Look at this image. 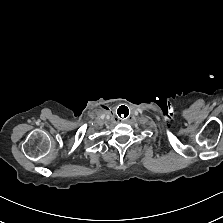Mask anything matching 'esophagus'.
<instances>
[{"instance_id": "34e87169", "label": "esophagus", "mask_w": 223, "mask_h": 223, "mask_svg": "<svg viewBox=\"0 0 223 223\" xmlns=\"http://www.w3.org/2000/svg\"><path fill=\"white\" fill-rule=\"evenodd\" d=\"M122 109H124V111H125V113L127 114V108L126 107H124V106H121L120 108H119V110L121 111Z\"/></svg>"}]
</instances>
